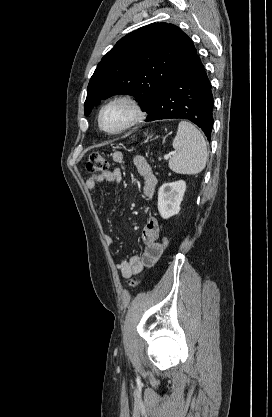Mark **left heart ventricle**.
<instances>
[{"label":"left heart ventricle","instance_id":"obj_1","mask_svg":"<svg viewBox=\"0 0 272 417\" xmlns=\"http://www.w3.org/2000/svg\"><path fill=\"white\" fill-rule=\"evenodd\" d=\"M131 116L132 111L127 105H112L103 114V126L108 130L118 129L128 122Z\"/></svg>","mask_w":272,"mask_h":417}]
</instances>
